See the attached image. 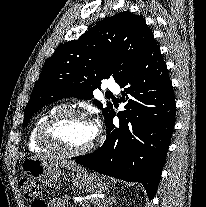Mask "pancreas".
<instances>
[{"label":"pancreas","instance_id":"cf45deb5","mask_svg":"<svg viewBox=\"0 0 206 207\" xmlns=\"http://www.w3.org/2000/svg\"><path fill=\"white\" fill-rule=\"evenodd\" d=\"M79 207H91L88 202H82Z\"/></svg>","mask_w":206,"mask_h":207}]
</instances>
